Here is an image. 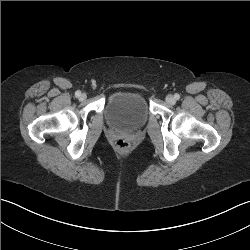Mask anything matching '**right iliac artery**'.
Returning a JSON list of instances; mask_svg holds the SVG:
<instances>
[{"label": "right iliac artery", "mask_w": 250, "mask_h": 250, "mask_svg": "<svg viewBox=\"0 0 250 250\" xmlns=\"http://www.w3.org/2000/svg\"><path fill=\"white\" fill-rule=\"evenodd\" d=\"M80 95H81V92H80V91H76V92H75V96H76V97H80Z\"/></svg>", "instance_id": "82829eb1"}]
</instances>
